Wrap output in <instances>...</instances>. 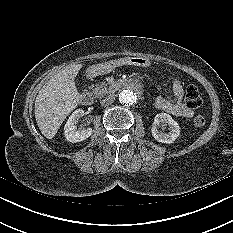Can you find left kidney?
<instances>
[{
    "mask_svg": "<svg viewBox=\"0 0 233 233\" xmlns=\"http://www.w3.org/2000/svg\"><path fill=\"white\" fill-rule=\"evenodd\" d=\"M166 125H169L170 127L169 133H164L158 130V127H165ZM151 133L155 140H157L158 142L170 144L173 143L175 139L179 136L180 127L169 114L159 113L154 118Z\"/></svg>",
    "mask_w": 233,
    "mask_h": 233,
    "instance_id": "5707ae66",
    "label": "left kidney"
}]
</instances>
